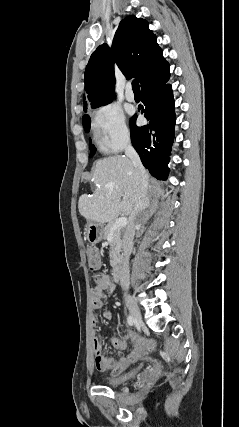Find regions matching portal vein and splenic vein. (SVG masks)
<instances>
[{
    "instance_id": "obj_1",
    "label": "portal vein and splenic vein",
    "mask_w": 239,
    "mask_h": 427,
    "mask_svg": "<svg viewBox=\"0 0 239 427\" xmlns=\"http://www.w3.org/2000/svg\"><path fill=\"white\" fill-rule=\"evenodd\" d=\"M127 223H128L127 218H125V217H120V218H118V219L115 221V223H114V225H113V230H114V229H117V228H120V227H124V226H126V225H127Z\"/></svg>"
}]
</instances>
